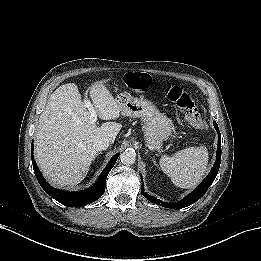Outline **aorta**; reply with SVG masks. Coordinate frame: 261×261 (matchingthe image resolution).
<instances>
[{
  "mask_svg": "<svg viewBox=\"0 0 261 261\" xmlns=\"http://www.w3.org/2000/svg\"><path fill=\"white\" fill-rule=\"evenodd\" d=\"M120 161L126 166H130L136 161V153L132 149H126L120 155Z\"/></svg>",
  "mask_w": 261,
  "mask_h": 261,
  "instance_id": "obj_1",
  "label": "aorta"
}]
</instances>
